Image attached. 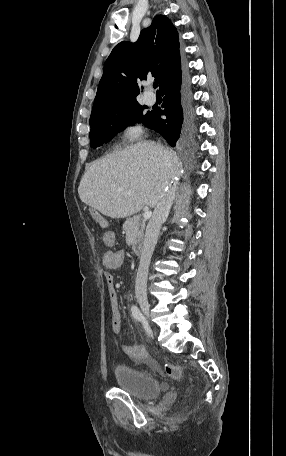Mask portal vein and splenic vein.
I'll use <instances>...</instances> for the list:
<instances>
[{
    "instance_id": "obj_1",
    "label": "portal vein and splenic vein",
    "mask_w": 286,
    "mask_h": 456,
    "mask_svg": "<svg viewBox=\"0 0 286 456\" xmlns=\"http://www.w3.org/2000/svg\"><path fill=\"white\" fill-rule=\"evenodd\" d=\"M152 215V212L147 208L144 210V213H143V218L145 219H149Z\"/></svg>"
}]
</instances>
